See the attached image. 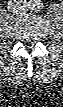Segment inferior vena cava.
<instances>
[{
  "mask_svg": "<svg viewBox=\"0 0 63 107\" xmlns=\"http://www.w3.org/2000/svg\"><path fill=\"white\" fill-rule=\"evenodd\" d=\"M11 11H13L15 14H22L27 11V8L24 4L21 2H16L11 6Z\"/></svg>",
  "mask_w": 63,
  "mask_h": 107,
  "instance_id": "602c4592",
  "label": "inferior vena cava"
}]
</instances>
